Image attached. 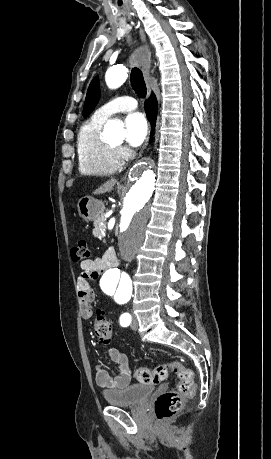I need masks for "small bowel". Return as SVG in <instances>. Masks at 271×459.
<instances>
[{"label": "small bowel", "mask_w": 271, "mask_h": 459, "mask_svg": "<svg viewBox=\"0 0 271 459\" xmlns=\"http://www.w3.org/2000/svg\"><path fill=\"white\" fill-rule=\"evenodd\" d=\"M108 265V255L102 258L95 257L93 259H86L80 263L82 272L78 277L77 287L80 309L85 319L92 316L91 303L94 299V292L91 288L90 281L98 279ZM109 357L111 361L117 365L118 373L115 377H112L105 368L101 365H97L95 368V380L97 385L109 389L124 388L128 386L131 381V367L127 356L113 348L109 350Z\"/></svg>", "instance_id": "small-bowel-1"}]
</instances>
